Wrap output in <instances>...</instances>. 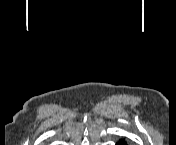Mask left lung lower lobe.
I'll return each mask as SVG.
<instances>
[{"label": "left lung lower lobe", "instance_id": "0a47b994", "mask_svg": "<svg viewBox=\"0 0 176 145\" xmlns=\"http://www.w3.org/2000/svg\"><path fill=\"white\" fill-rule=\"evenodd\" d=\"M117 145H126V143L123 140H121L117 143Z\"/></svg>", "mask_w": 176, "mask_h": 145}]
</instances>
